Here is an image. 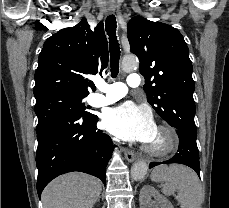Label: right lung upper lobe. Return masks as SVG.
I'll use <instances>...</instances> for the list:
<instances>
[{"label":"right lung upper lobe","mask_w":229,"mask_h":208,"mask_svg":"<svg viewBox=\"0 0 229 208\" xmlns=\"http://www.w3.org/2000/svg\"><path fill=\"white\" fill-rule=\"evenodd\" d=\"M108 63V45L99 23L94 31L86 18L76 26L64 28L49 37L38 58L35 72L36 101L57 96H81L95 89L85 75L102 73Z\"/></svg>","instance_id":"1"}]
</instances>
